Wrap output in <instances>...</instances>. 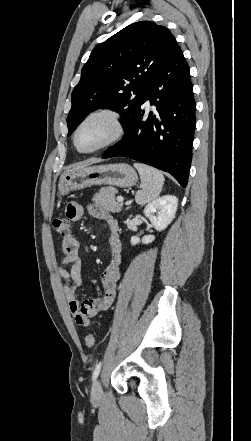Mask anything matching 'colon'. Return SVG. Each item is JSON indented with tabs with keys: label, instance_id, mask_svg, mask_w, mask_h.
<instances>
[{
	"label": "colon",
	"instance_id": "colon-1",
	"mask_svg": "<svg viewBox=\"0 0 251 441\" xmlns=\"http://www.w3.org/2000/svg\"><path fill=\"white\" fill-rule=\"evenodd\" d=\"M53 229L63 241L71 237V223L68 218H55L53 220ZM85 344L87 347H92L95 344V335L93 333H89L86 335Z\"/></svg>",
	"mask_w": 251,
	"mask_h": 441
}]
</instances>
